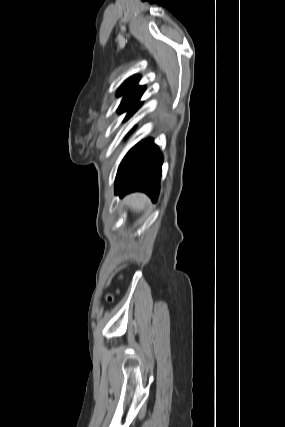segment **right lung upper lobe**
Returning <instances> with one entry per match:
<instances>
[{"label":"right lung upper lobe","mask_w":285,"mask_h":427,"mask_svg":"<svg viewBox=\"0 0 285 427\" xmlns=\"http://www.w3.org/2000/svg\"><path fill=\"white\" fill-rule=\"evenodd\" d=\"M139 76H132L128 78L118 89V96L124 94V98L118 108V112L122 113L128 111V115L133 114L142 105L139 102L145 86H138Z\"/></svg>","instance_id":"1"}]
</instances>
